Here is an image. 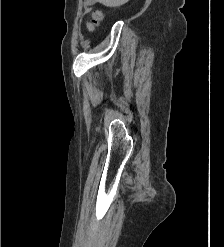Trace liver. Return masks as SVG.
<instances>
[{
    "label": "liver",
    "instance_id": "obj_1",
    "mask_svg": "<svg viewBox=\"0 0 224 247\" xmlns=\"http://www.w3.org/2000/svg\"><path fill=\"white\" fill-rule=\"evenodd\" d=\"M95 2H100L103 6H108V8H118V6H123L128 0H95Z\"/></svg>",
    "mask_w": 224,
    "mask_h": 247
}]
</instances>
